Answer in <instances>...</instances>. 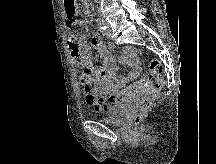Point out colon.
I'll return each instance as SVG.
<instances>
[{"label":"colon","mask_w":216,"mask_h":164,"mask_svg":"<svg viewBox=\"0 0 216 164\" xmlns=\"http://www.w3.org/2000/svg\"><path fill=\"white\" fill-rule=\"evenodd\" d=\"M164 86L162 63L158 59H153L149 64V76L143 77L122 89L114 100L118 104L139 100V112L134 118L135 123L139 124L151 109L153 101L159 97Z\"/></svg>","instance_id":"obj_1"}]
</instances>
